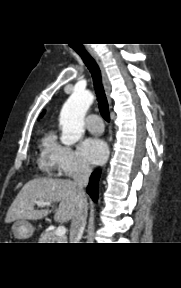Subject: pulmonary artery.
I'll return each instance as SVG.
<instances>
[{
    "label": "pulmonary artery",
    "instance_id": "pulmonary-artery-1",
    "mask_svg": "<svg viewBox=\"0 0 181 288\" xmlns=\"http://www.w3.org/2000/svg\"><path fill=\"white\" fill-rule=\"evenodd\" d=\"M86 127L92 133H101L103 131V123L100 116L95 113L88 115Z\"/></svg>",
    "mask_w": 181,
    "mask_h": 288
}]
</instances>
